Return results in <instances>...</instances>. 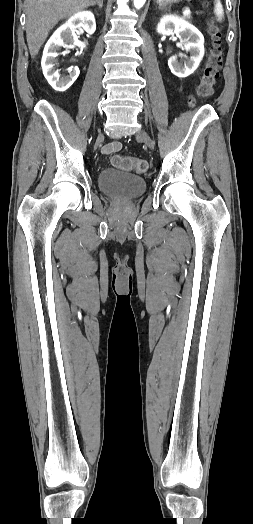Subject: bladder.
<instances>
[{
  "label": "bladder",
  "instance_id": "bladder-1",
  "mask_svg": "<svg viewBox=\"0 0 253 524\" xmlns=\"http://www.w3.org/2000/svg\"><path fill=\"white\" fill-rule=\"evenodd\" d=\"M97 183L103 195L125 201L139 197L147 188L145 178L111 168H105L99 172Z\"/></svg>",
  "mask_w": 253,
  "mask_h": 524
}]
</instances>
